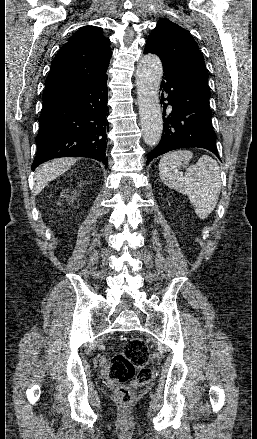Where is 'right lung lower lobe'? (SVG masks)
<instances>
[{"label": "right lung lower lobe", "instance_id": "1", "mask_svg": "<svg viewBox=\"0 0 257 439\" xmlns=\"http://www.w3.org/2000/svg\"><path fill=\"white\" fill-rule=\"evenodd\" d=\"M107 74L43 99L32 170L58 157H89L107 168Z\"/></svg>", "mask_w": 257, "mask_h": 439}]
</instances>
